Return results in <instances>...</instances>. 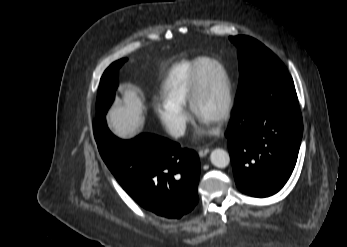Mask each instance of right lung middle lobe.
<instances>
[{
	"mask_svg": "<svg viewBox=\"0 0 347 247\" xmlns=\"http://www.w3.org/2000/svg\"><path fill=\"white\" fill-rule=\"evenodd\" d=\"M126 61V59L118 60L112 63L104 72L101 77L100 86L98 90L97 96V118H104L105 114L110 107L114 95L115 90L117 88V75L118 69L122 66V64Z\"/></svg>",
	"mask_w": 347,
	"mask_h": 247,
	"instance_id": "1",
	"label": "right lung middle lobe"
}]
</instances>
